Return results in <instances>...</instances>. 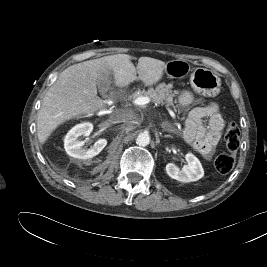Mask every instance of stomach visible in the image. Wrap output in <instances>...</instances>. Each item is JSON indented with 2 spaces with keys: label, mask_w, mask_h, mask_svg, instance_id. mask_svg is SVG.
<instances>
[{
  "label": "stomach",
  "mask_w": 267,
  "mask_h": 267,
  "mask_svg": "<svg viewBox=\"0 0 267 267\" xmlns=\"http://www.w3.org/2000/svg\"><path fill=\"white\" fill-rule=\"evenodd\" d=\"M190 71V84L197 94L215 97L220 93L221 79L211 70L205 68L191 70L190 65L183 60L170 61L165 68L169 76L179 78L185 77Z\"/></svg>",
  "instance_id": "1"
}]
</instances>
